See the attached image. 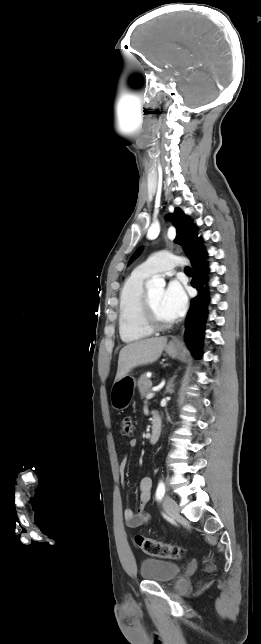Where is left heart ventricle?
<instances>
[{
    "label": "left heart ventricle",
    "mask_w": 261,
    "mask_h": 644,
    "mask_svg": "<svg viewBox=\"0 0 261 644\" xmlns=\"http://www.w3.org/2000/svg\"><path fill=\"white\" fill-rule=\"evenodd\" d=\"M163 288H154L149 290V295L151 298V302L154 308V312L156 317L163 322H168L171 321L172 319L166 312L164 306H163Z\"/></svg>",
    "instance_id": "b2bd125f"
}]
</instances>
